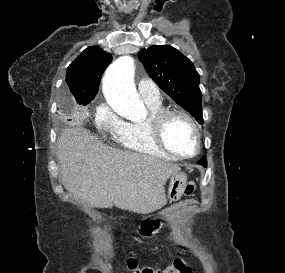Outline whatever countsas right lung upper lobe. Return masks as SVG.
Instances as JSON below:
<instances>
[{
    "mask_svg": "<svg viewBox=\"0 0 285 273\" xmlns=\"http://www.w3.org/2000/svg\"><path fill=\"white\" fill-rule=\"evenodd\" d=\"M111 61L110 53L97 46H91L69 65L66 83L80 105L90 103L95 98L100 78Z\"/></svg>",
    "mask_w": 285,
    "mask_h": 273,
    "instance_id": "right-lung-upper-lobe-1",
    "label": "right lung upper lobe"
}]
</instances>
